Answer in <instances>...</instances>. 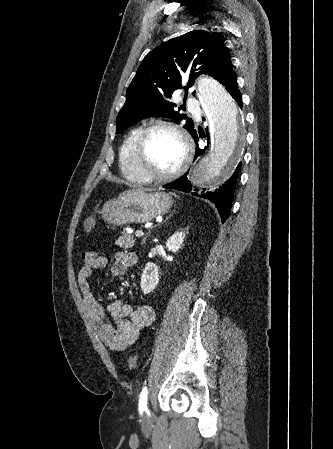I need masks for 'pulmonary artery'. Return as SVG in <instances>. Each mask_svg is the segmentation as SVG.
Segmentation results:
<instances>
[{
  "label": "pulmonary artery",
  "instance_id": "pulmonary-artery-1",
  "mask_svg": "<svg viewBox=\"0 0 333 449\" xmlns=\"http://www.w3.org/2000/svg\"><path fill=\"white\" fill-rule=\"evenodd\" d=\"M187 103L190 108H194L196 106V101L194 99H188Z\"/></svg>",
  "mask_w": 333,
  "mask_h": 449
}]
</instances>
